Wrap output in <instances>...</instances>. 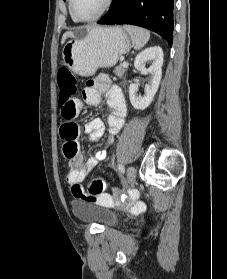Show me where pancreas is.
Instances as JSON below:
<instances>
[{
    "mask_svg": "<svg viewBox=\"0 0 227 279\" xmlns=\"http://www.w3.org/2000/svg\"><path fill=\"white\" fill-rule=\"evenodd\" d=\"M126 68L127 67H123L122 65H119V66L115 67L114 73L118 77H123V75L126 73Z\"/></svg>",
    "mask_w": 227,
    "mask_h": 279,
    "instance_id": "1",
    "label": "pancreas"
}]
</instances>
